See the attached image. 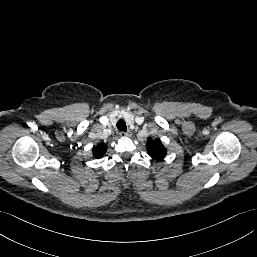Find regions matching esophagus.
<instances>
[{
    "instance_id": "obj_1",
    "label": "esophagus",
    "mask_w": 257,
    "mask_h": 257,
    "mask_svg": "<svg viewBox=\"0 0 257 257\" xmlns=\"http://www.w3.org/2000/svg\"><path fill=\"white\" fill-rule=\"evenodd\" d=\"M120 136L130 137L131 136V132L130 131L120 132Z\"/></svg>"
}]
</instances>
